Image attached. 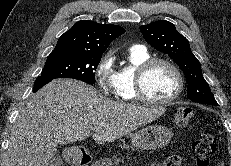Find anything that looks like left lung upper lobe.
Returning a JSON list of instances; mask_svg holds the SVG:
<instances>
[{
	"mask_svg": "<svg viewBox=\"0 0 231 166\" xmlns=\"http://www.w3.org/2000/svg\"><path fill=\"white\" fill-rule=\"evenodd\" d=\"M144 39L155 49L167 54L183 70L187 77V94L194 102L218 105L205 81L201 65L190 49L189 41L181 35L174 24L159 20L140 27Z\"/></svg>",
	"mask_w": 231,
	"mask_h": 166,
	"instance_id": "5c2ea615",
	"label": "left lung upper lobe"
}]
</instances>
